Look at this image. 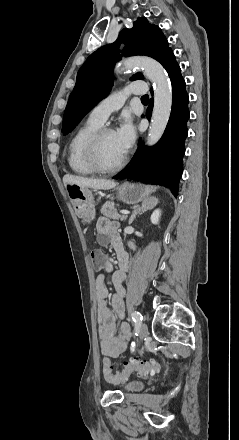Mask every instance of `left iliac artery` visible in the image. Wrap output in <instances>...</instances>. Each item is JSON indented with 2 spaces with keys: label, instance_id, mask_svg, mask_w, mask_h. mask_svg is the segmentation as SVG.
Segmentation results:
<instances>
[{
  "label": "left iliac artery",
  "instance_id": "1",
  "mask_svg": "<svg viewBox=\"0 0 239 440\" xmlns=\"http://www.w3.org/2000/svg\"><path fill=\"white\" fill-rule=\"evenodd\" d=\"M131 317L135 323H140L143 320L142 315L138 311H133ZM131 350H135V342L131 343Z\"/></svg>",
  "mask_w": 239,
  "mask_h": 440
}]
</instances>
